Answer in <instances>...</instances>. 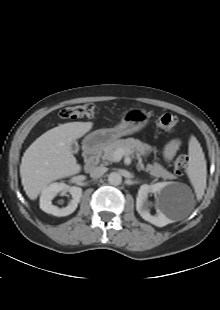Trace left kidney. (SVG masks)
Segmentation results:
<instances>
[{"label": "left kidney", "instance_id": "obj_1", "mask_svg": "<svg viewBox=\"0 0 220 310\" xmlns=\"http://www.w3.org/2000/svg\"><path fill=\"white\" fill-rule=\"evenodd\" d=\"M169 185L170 183L168 182H161L153 185L144 184L140 187L136 198V208L141 217L158 227H163L170 222L165 214L166 208L170 202L168 193L172 188ZM149 193H154L156 195V216H152L148 209L147 196Z\"/></svg>", "mask_w": 220, "mask_h": 310}]
</instances>
